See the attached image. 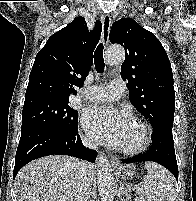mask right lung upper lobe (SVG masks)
<instances>
[{
  "label": "right lung upper lobe",
  "instance_id": "1",
  "mask_svg": "<svg viewBox=\"0 0 196 201\" xmlns=\"http://www.w3.org/2000/svg\"><path fill=\"white\" fill-rule=\"evenodd\" d=\"M102 24L96 21L88 31L84 17H77L53 34L36 55L30 72L25 99L51 97L68 99L77 94L93 60V50L100 39Z\"/></svg>",
  "mask_w": 196,
  "mask_h": 201
}]
</instances>
